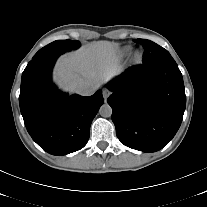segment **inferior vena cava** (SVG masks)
Listing matches in <instances>:
<instances>
[{
  "mask_svg": "<svg viewBox=\"0 0 207 207\" xmlns=\"http://www.w3.org/2000/svg\"><path fill=\"white\" fill-rule=\"evenodd\" d=\"M98 86L92 83H80L75 86L74 90L76 93L83 95V96H90L96 92Z\"/></svg>",
  "mask_w": 207,
  "mask_h": 207,
  "instance_id": "602c4592",
  "label": "inferior vena cava"
}]
</instances>
